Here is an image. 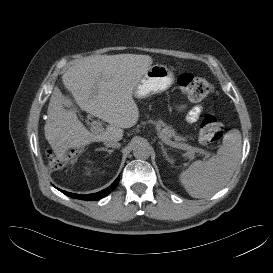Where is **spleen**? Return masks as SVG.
Instances as JSON below:
<instances>
[{
	"label": "spleen",
	"instance_id": "3e777b00",
	"mask_svg": "<svg viewBox=\"0 0 273 273\" xmlns=\"http://www.w3.org/2000/svg\"><path fill=\"white\" fill-rule=\"evenodd\" d=\"M241 148L240 131H228L214 157L207 161H195L181 172L179 179L188 194L193 198H205L224 187L237 168Z\"/></svg>",
	"mask_w": 273,
	"mask_h": 273
}]
</instances>
